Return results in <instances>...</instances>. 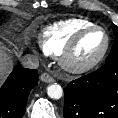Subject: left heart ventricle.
I'll return each instance as SVG.
<instances>
[{
    "label": "left heart ventricle",
    "mask_w": 118,
    "mask_h": 118,
    "mask_svg": "<svg viewBox=\"0 0 118 118\" xmlns=\"http://www.w3.org/2000/svg\"><path fill=\"white\" fill-rule=\"evenodd\" d=\"M106 39L101 31H93L86 35L77 47L73 62L83 64L95 59L104 49Z\"/></svg>",
    "instance_id": "1"
}]
</instances>
